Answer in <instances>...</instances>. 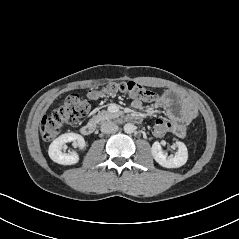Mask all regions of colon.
<instances>
[{
	"label": "colon",
	"instance_id": "1",
	"mask_svg": "<svg viewBox=\"0 0 239 239\" xmlns=\"http://www.w3.org/2000/svg\"><path fill=\"white\" fill-rule=\"evenodd\" d=\"M118 93L127 94L132 98L145 102H153L156 95L139 83L128 81L110 83L103 88L94 89L90 92L91 99L103 96H114ZM89 111L88 101L76 96H69L64 104L56 109L50 116H45L41 120V133L44 139L51 140L59 135L64 126H71L81 121ZM169 121L166 118H157L153 122L152 134L155 137H164L169 130Z\"/></svg>",
	"mask_w": 239,
	"mask_h": 239
}]
</instances>
